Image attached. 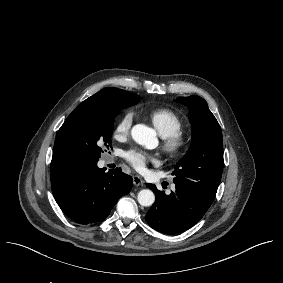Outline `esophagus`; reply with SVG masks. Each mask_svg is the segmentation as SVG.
Wrapping results in <instances>:
<instances>
[{
    "label": "esophagus",
    "mask_w": 283,
    "mask_h": 283,
    "mask_svg": "<svg viewBox=\"0 0 283 283\" xmlns=\"http://www.w3.org/2000/svg\"><path fill=\"white\" fill-rule=\"evenodd\" d=\"M133 184L134 186H142L144 182L139 176L135 175L133 176Z\"/></svg>",
    "instance_id": "esophagus-1"
}]
</instances>
